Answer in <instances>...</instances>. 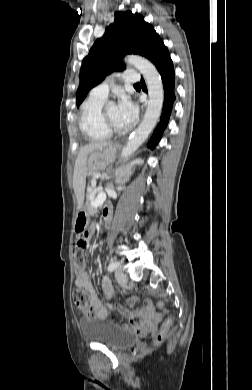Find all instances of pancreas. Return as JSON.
Wrapping results in <instances>:
<instances>
[{"label":"pancreas","instance_id":"obj_1","mask_svg":"<svg viewBox=\"0 0 252 390\" xmlns=\"http://www.w3.org/2000/svg\"><path fill=\"white\" fill-rule=\"evenodd\" d=\"M86 205L89 207L88 210H89V213H90V216L91 217H94L95 214H97L98 212V208L97 207H93L92 206V202H90L89 200V197L87 196V202H86Z\"/></svg>","mask_w":252,"mask_h":390}]
</instances>
